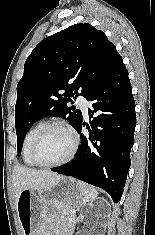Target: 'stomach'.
<instances>
[{
  "mask_svg": "<svg viewBox=\"0 0 155 235\" xmlns=\"http://www.w3.org/2000/svg\"><path fill=\"white\" fill-rule=\"evenodd\" d=\"M84 201L77 181L71 177H62L49 190H23L16 202L23 235H46L42 229L45 207L71 210L80 207Z\"/></svg>",
  "mask_w": 155,
  "mask_h": 235,
  "instance_id": "0dacf381",
  "label": "stomach"
}]
</instances>
